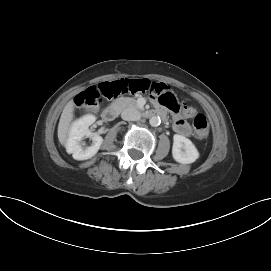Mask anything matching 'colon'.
Wrapping results in <instances>:
<instances>
[{"label": "colon", "mask_w": 271, "mask_h": 271, "mask_svg": "<svg viewBox=\"0 0 271 271\" xmlns=\"http://www.w3.org/2000/svg\"><path fill=\"white\" fill-rule=\"evenodd\" d=\"M153 86H155V82H150L147 79H119L111 82H104L80 92L75 97V103L79 107H96L102 97L112 98L122 94L149 93L156 98L161 105L173 112H179L180 105L175 96L166 89H163L161 95H153L151 93V88ZM193 128L195 136L198 139L207 137L209 126L208 121L203 114H197L194 117Z\"/></svg>", "instance_id": "5ec220e1"}]
</instances>
